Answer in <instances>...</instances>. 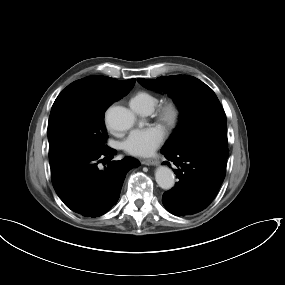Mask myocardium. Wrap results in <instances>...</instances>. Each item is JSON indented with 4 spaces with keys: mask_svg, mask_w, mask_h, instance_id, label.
<instances>
[{
    "mask_svg": "<svg viewBox=\"0 0 285 285\" xmlns=\"http://www.w3.org/2000/svg\"><path fill=\"white\" fill-rule=\"evenodd\" d=\"M155 116L167 130H173L180 122L181 110L177 102L166 100L157 107Z\"/></svg>",
    "mask_w": 285,
    "mask_h": 285,
    "instance_id": "f54148a6",
    "label": "myocardium"
}]
</instances>
